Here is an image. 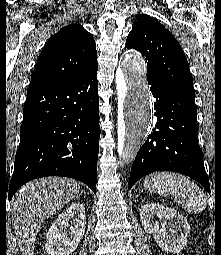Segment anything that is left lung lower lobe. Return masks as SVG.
<instances>
[{
	"mask_svg": "<svg viewBox=\"0 0 221 255\" xmlns=\"http://www.w3.org/2000/svg\"><path fill=\"white\" fill-rule=\"evenodd\" d=\"M156 98L157 123L137 153L129 178V189L143 176L156 171L187 175L210 193V185L198 144L195 98L148 80Z\"/></svg>",
	"mask_w": 221,
	"mask_h": 255,
	"instance_id": "left-lung-lower-lobe-1",
	"label": "left lung lower lobe"
}]
</instances>
